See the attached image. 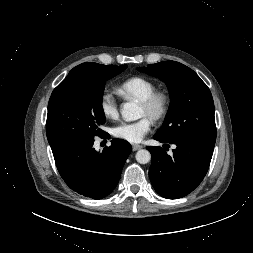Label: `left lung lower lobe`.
<instances>
[{"label":"left lung lower lobe","instance_id":"1","mask_svg":"<svg viewBox=\"0 0 253 253\" xmlns=\"http://www.w3.org/2000/svg\"><path fill=\"white\" fill-rule=\"evenodd\" d=\"M153 138L176 145L171 156L161 147H147L152 155L149 178L154 189L167 199L188 195L205 177L215 144L195 138L174 141H166L156 135Z\"/></svg>","mask_w":253,"mask_h":253}]
</instances>
